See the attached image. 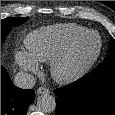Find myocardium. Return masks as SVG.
Masks as SVG:
<instances>
[{"mask_svg": "<svg viewBox=\"0 0 115 115\" xmlns=\"http://www.w3.org/2000/svg\"><path fill=\"white\" fill-rule=\"evenodd\" d=\"M90 35H95L98 39L96 50L89 56L80 58L78 56L79 45ZM103 42L100 34L95 30H87L77 36L68 47L58 55L51 63L52 77L59 83H71L86 72L98 60L102 52Z\"/></svg>", "mask_w": 115, "mask_h": 115, "instance_id": "1", "label": "myocardium"}]
</instances>
